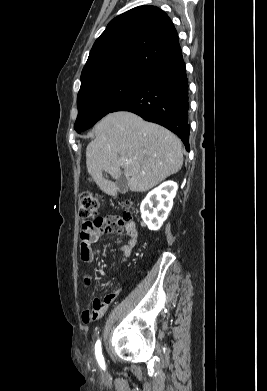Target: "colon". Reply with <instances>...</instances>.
<instances>
[{"mask_svg": "<svg viewBox=\"0 0 267 391\" xmlns=\"http://www.w3.org/2000/svg\"><path fill=\"white\" fill-rule=\"evenodd\" d=\"M102 203V197L98 194H94L91 192H83L79 196L78 201V213L79 217L82 220L83 224L90 222L89 220H93V222H99L101 217L98 216V212L100 209V205ZM134 206L132 203H127L124 206V211L122 216L117 217V221L120 224H124L128 222L133 213ZM81 248L83 250H87L88 241L85 237L80 239Z\"/></svg>", "mask_w": 267, "mask_h": 391, "instance_id": "colon-1", "label": "colon"}]
</instances>
